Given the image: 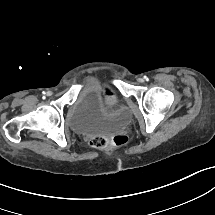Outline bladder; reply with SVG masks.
Segmentation results:
<instances>
[{
  "label": "bladder",
  "mask_w": 215,
  "mask_h": 215,
  "mask_svg": "<svg viewBox=\"0 0 215 215\" xmlns=\"http://www.w3.org/2000/svg\"><path fill=\"white\" fill-rule=\"evenodd\" d=\"M128 119L125 109L112 115L99 112L84 114L77 111L70 119V127L74 133L82 136H112L123 130Z\"/></svg>",
  "instance_id": "bladder-1"
}]
</instances>
